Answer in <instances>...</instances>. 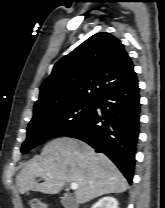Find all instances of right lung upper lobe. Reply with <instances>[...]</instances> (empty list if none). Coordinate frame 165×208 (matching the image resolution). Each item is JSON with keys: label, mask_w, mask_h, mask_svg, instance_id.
<instances>
[{"label": "right lung upper lobe", "mask_w": 165, "mask_h": 208, "mask_svg": "<svg viewBox=\"0 0 165 208\" xmlns=\"http://www.w3.org/2000/svg\"><path fill=\"white\" fill-rule=\"evenodd\" d=\"M133 74L132 61L120 40L97 33L55 64L40 87L34 110L67 101H97Z\"/></svg>", "instance_id": "cb5924a9"}]
</instances>
